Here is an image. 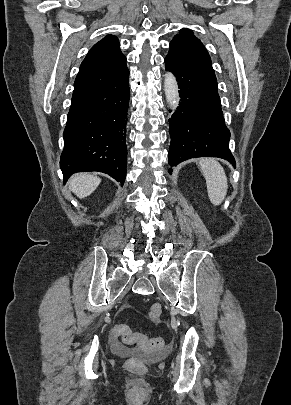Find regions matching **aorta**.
<instances>
[{"label": "aorta", "mask_w": 291, "mask_h": 405, "mask_svg": "<svg viewBox=\"0 0 291 405\" xmlns=\"http://www.w3.org/2000/svg\"><path fill=\"white\" fill-rule=\"evenodd\" d=\"M164 91L167 103L172 110H176L179 105V89L173 73L167 72L164 77Z\"/></svg>", "instance_id": "762f6f07"}]
</instances>
